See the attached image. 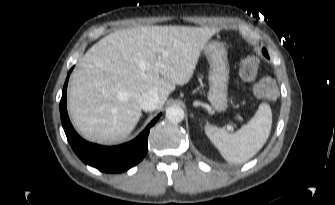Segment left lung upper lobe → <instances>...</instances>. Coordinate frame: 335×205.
I'll list each match as a JSON object with an SVG mask.
<instances>
[{"label":"left lung upper lobe","instance_id":"left-lung-upper-lobe-1","mask_svg":"<svg viewBox=\"0 0 335 205\" xmlns=\"http://www.w3.org/2000/svg\"><path fill=\"white\" fill-rule=\"evenodd\" d=\"M262 53H263L264 56L268 57V52H267L266 49H262Z\"/></svg>","mask_w":335,"mask_h":205}]
</instances>
